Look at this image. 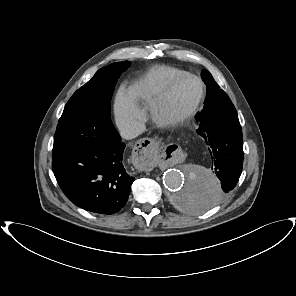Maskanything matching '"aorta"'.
Instances as JSON below:
<instances>
[{
  "label": "aorta",
  "mask_w": 296,
  "mask_h": 296,
  "mask_svg": "<svg viewBox=\"0 0 296 296\" xmlns=\"http://www.w3.org/2000/svg\"><path fill=\"white\" fill-rule=\"evenodd\" d=\"M166 197L172 208L186 213H203L214 207L219 197V180L204 167L170 169L163 176Z\"/></svg>",
  "instance_id": "1"
}]
</instances>
